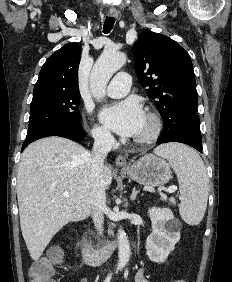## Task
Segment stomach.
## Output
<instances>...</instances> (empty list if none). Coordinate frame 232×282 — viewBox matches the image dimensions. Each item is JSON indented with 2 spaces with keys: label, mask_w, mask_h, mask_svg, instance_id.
Instances as JSON below:
<instances>
[{
  "label": "stomach",
  "mask_w": 232,
  "mask_h": 282,
  "mask_svg": "<svg viewBox=\"0 0 232 282\" xmlns=\"http://www.w3.org/2000/svg\"><path fill=\"white\" fill-rule=\"evenodd\" d=\"M125 172L132 180L148 187L162 186L172 177L170 165L154 154L142 156Z\"/></svg>",
  "instance_id": "stomach-1"
}]
</instances>
